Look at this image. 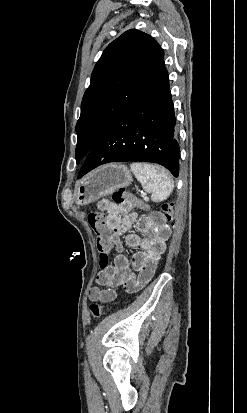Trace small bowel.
<instances>
[{
  "label": "small bowel",
  "mask_w": 247,
  "mask_h": 413,
  "mask_svg": "<svg viewBox=\"0 0 247 413\" xmlns=\"http://www.w3.org/2000/svg\"><path fill=\"white\" fill-rule=\"evenodd\" d=\"M100 211L107 213L106 223L110 229L109 239L116 251L113 263L104 267L97 275L99 287L90 289L88 298L93 302H109L114 299V288L123 285L127 292L134 293L143 289L154 277L159 259L166 250V242L171 229L166 223L154 224L149 217H140L132 203L117 204L101 200ZM135 226L143 236L129 232ZM125 234V245L139 248L131 258L122 254L121 236Z\"/></svg>",
  "instance_id": "small-bowel-1"
}]
</instances>
